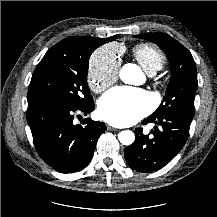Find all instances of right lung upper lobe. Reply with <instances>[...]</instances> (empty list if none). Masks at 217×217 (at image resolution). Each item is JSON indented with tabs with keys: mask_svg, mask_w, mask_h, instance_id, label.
Instances as JSON below:
<instances>
[{
	"mask_svg": "<svg viewBox=\"0 0 217 217\" xmlns=\"http://www.w3.org/2000/svg\"><path fill=\"white\" fill-rule=\"evenodd\" d=\"M73 37H77V36H72V37H68V38H73ZM117 38V36H112V37H109V38H106V39H99L101 44H105L107 42H110V41H113Z\"/></svg>",
	"mask_w": 217,
	"mask_h": 217,
	"instance_id": "1",
	"label": "right lung upper lobe"
}]
</instances>
